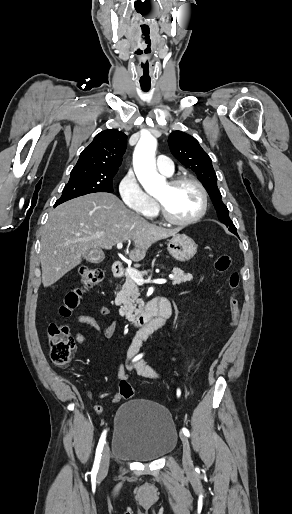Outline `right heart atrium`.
<instances>
[{"label":"right heart atrium","instance_id":"d8ad5b80","mask_svg":"<svg viewBox=\"0 0 292 514\" xmlns=\"http://www.w3.org/2000/svg\"><path fill=\"white\" fill-rule=\"evenodd\" d=\"M118 193L123 204L129 209H141V212H148L153 207L151 198L132 170L126 171L120 178Z\"/></svg>","mask_w":292,"mask_h":514}]
</instances>
